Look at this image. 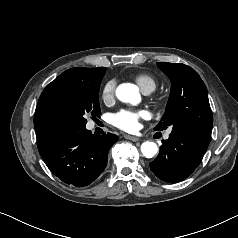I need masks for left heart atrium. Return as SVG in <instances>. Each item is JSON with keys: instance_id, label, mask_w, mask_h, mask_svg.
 Listing matches in <instances>:
<instances>
[{"instance_id": "39dd6f15", "label": "left heart atrium", "mask_w": 238, "mask_h": 238, "mask_svg": "<svg viewBox=\"0 0 238 238\" xmlns=\"http://www.w3.org/2000/svg\"><path fill=\"white\" fill-rule=\"evenodd\" d=\"M148 117L145 110H121L112 117L113 124L119 129L133 132L138 129L140 119Z\"/></svg>"}]
</instances>
